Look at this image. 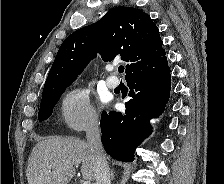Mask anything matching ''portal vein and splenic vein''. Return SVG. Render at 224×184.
Masks as SVG:
<instances>
[{
	"label": "portal vein and splenic vein",
	"mask_w": 224,
	"mask_h": 184,
	"mask_svg": "<svg viewBox=\"0 0 224 184\" xmlns=\"http://www.w3.org/2000/svg\"><path fill=\"white\" fill-rule=\"evenodd\" d=\"M83 184H91L90 181H85Z\"/></svg>",
	"instance_id": "1"
}]
</instances>
